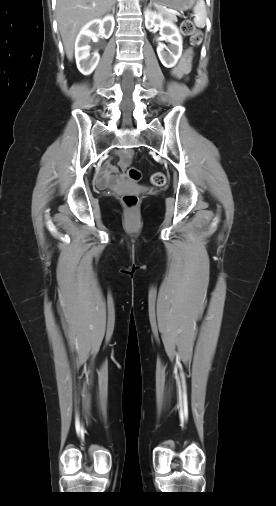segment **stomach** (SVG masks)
Listing matches in <instances>:
<instances>
[{"instance_id": "obj_1", "label": "stomach", "mask_w": 276, "mask_h": 506, "mask_svg": "<svg viewBox=\"0 0 276 506\" xmlns=\"http://www.w3.org/2000/svg\"><path fill=\"white\" fill-rule=\"evenodd\" d=\"M196 0H152L158 8L168 7L177 11H186L190 9Z\"/></svg>"}]
</instances>
